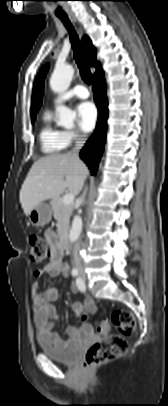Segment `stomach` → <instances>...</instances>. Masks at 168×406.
Masks as SVG:
<instances>
[{
	"mask_svg": "<svg viewBox=\"0 0 168 406\" xmlns=\"http://www.w3.org/2000/svg\"><path fill=\"white\" fill-rule=\"evenodd\" d=\"M52 209L48 204L41 203L34 207L29 213V220L34 226H44L50 222Z\"/></svg>",
	"mask_w": 168,
	"mask_h": 406,
	"instance_id": "1",
	"label": "stomach"
}]
</instances>
